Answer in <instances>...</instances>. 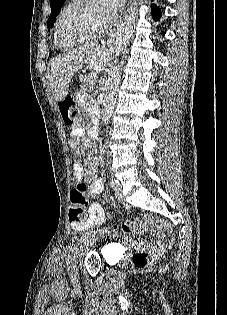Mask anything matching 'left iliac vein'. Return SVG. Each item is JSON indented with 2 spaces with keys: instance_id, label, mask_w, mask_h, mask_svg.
<instances>
[{
  "instance_id": "left-iliac-vein-1",
  "label": "left iliac vein",
  "mask_w": 227,
  "mask_h": 315,
  "mask_svg": "<svg viewBox=\"0 0 227 315\" xmlns=\"http://www.w3.org/2000/svg\"><path fill=\"white\" fill-rule=\"evenodd\" d=\"M115 185L113 186V189L115 191V197L119 203L124 201V196L122 194V189H121V184L119 181L115 180ZM96 239L95 233L90 235L86 240H85V245H91Z\"/></svg>"
}]
</instances>
